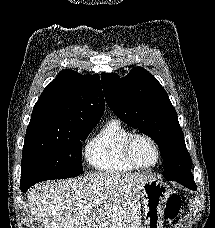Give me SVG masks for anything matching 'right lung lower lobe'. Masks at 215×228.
<instances>
[{
	"mask_svg": "<svg viewBox=\"0 0 215 228\" xmlns=\"http://www.w3.org/2000/svg\"><path fill=\"white\" fill-rule=\"evenodd\" d=\"M27 189H28L27 186L21 185V191H22V192L26 193V190H27Z\"/></svg>",
	"mask_w": 215,
	"mask_h": 228,
	"instance_id": "1",
	"label": "right lung lower lobe"
}]
</instances>
